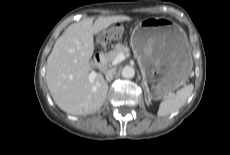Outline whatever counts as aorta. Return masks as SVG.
Instances as JSON below:
<instances>
[{"mask_svg":"<svg viewBox=\"0 0 230 155\" xmlns=\"http://www.w3.org/2000/svg\"><path fill=\"white\" fill-rule=\"evenodd\" d=\"M122 76L124 78H133L135 76V69L132 66H125L122 69Z\"/></svg>","mask_w":230,"mask_h":155,"instance_id":"762f6f07","label":"aorta"}]
</instances>
